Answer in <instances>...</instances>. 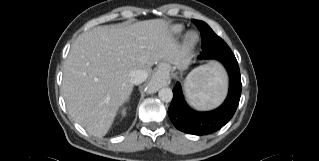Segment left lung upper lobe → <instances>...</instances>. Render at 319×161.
<instances>
[{
  "mask_svg": "<svg viewBox=\"0 0 319 161\" xmlns=\"http://www.w3.org/2000/svg\"><path fill=\"white\" fill-rule=\"evenodd\" d=\"M195 25L201 31L202 36V50L201 59H220L223 57H233L231 49L228 45L217 36L213 31L208 34L211 29L205 22L200 20H193ZM212 30V29H211Z\"/></svg>",
  "mask_w": 319,
  "mask_h": 161,
  "instance_id": "1",
  "label": "left lung upper lobe"
}]
</instances>
